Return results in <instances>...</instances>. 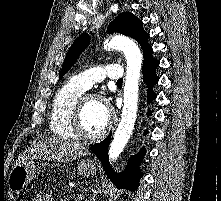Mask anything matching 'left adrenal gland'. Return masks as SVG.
Here are the masks:
<instances>
[{
  "instance_id": "obj_1",
  "label": "left adrenal gland",
  "mask_w": 221,
  "mask_h": 201,
  "mask_svg": "<svg viewBox=\"0 0 221 201\" xmlns=\"http://www.w3.org/2000/svg\"><path fill=\"white\" fill-rule=\"evenodd\" d=\"M90 201H96L95 197L91 198Z\"/></svg>"
}]
</instances>
